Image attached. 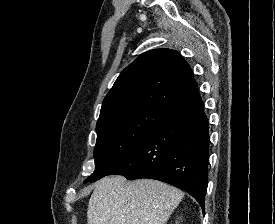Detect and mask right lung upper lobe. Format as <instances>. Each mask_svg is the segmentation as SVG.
Segmentation results:
<instances>
[{
    "instance_id": "cb5924a9",
    "label": "right lung upper lobe",
    "mask_w": 275,
    "mask_h": 224,
    "mask_svg": "<svg viewBox=\"0 0 275 224\" xmlns=\"http://www.w3.org/2000/svg\"><path fill=\"white\" fill-rule=\"evenodd\" d=\"M196 87L190 66L178 52L150 50L121 72L103 100L97 126L143 107L167 110Z\"/></svg>"
}]
</instances>
